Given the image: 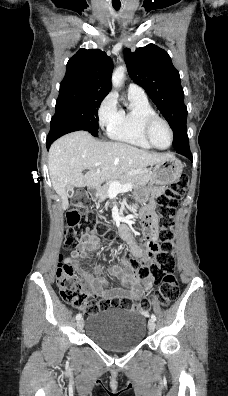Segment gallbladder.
<instances>
[{"label":"gallbladder","mask_w":228,"mask_h":396,"mask_svg":"<svg viewBox=\"0 0 228 396\" xmlns=\"http://www.w3.org/2000/svg\"><path fill=\"white\" fill-rule=\"evenodd\" d=\"M69 192L73 194V192H74L73 188H72V189H70V190H69Z\"/></svg>","instance_id":"gallbladder-1"}]
</instances>
